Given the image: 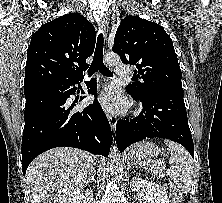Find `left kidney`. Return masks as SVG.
Masks as SVG:
<instances>
[{"label": "left kidney", "mask_w": 222, "mask_h": 203, "mask_svg": "<svg viewBox=\"0 0 222 203\" xmlns=\"http://www.w3.org/2000/svg\"><path fill=\"white\" fill-rule=\"evenodd\" d=\"M130 188L142 197L143 203H169L166 190L157 183L133 177Z\"/></svg>", "instance_id": "left-kidney-1"}]
</instances>
